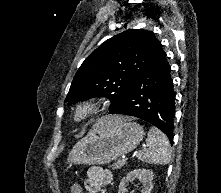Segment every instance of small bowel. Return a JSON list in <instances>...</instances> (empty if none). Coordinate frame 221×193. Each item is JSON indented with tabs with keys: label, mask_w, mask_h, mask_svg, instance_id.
<instances>
[{
	"label": "small bowel",
	"mask_w": 221,
	"mask_h": 193,
	"mask_svg": "<svg viewBox=\"0 0 221 193\" xmlns=\"http://www.w3.org/2000/svg\"><path fill=\"white\" fill-rule=\"evenodd\" d=\"M113 175L109 169L92 166L87 170V178L84 182V187L89 193H99L101 188L112 182ZM72 193H76L72 189Z\"/></svg>",
	"instance_id": "c3829d8e"
}]
</instances>
